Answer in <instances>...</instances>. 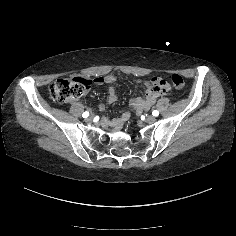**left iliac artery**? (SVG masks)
<instances>
[{
    "label": "left iliac artery",
    "instance_id": "1",
    "mask_svg": "<svg viewBox=\"0 0 236 236\" xmlns=\"http://www.w3.org/2000/svg\"><path fill=\"white\" fill-rule=\"evenodd\" d=\"M152 115H153V116H158V115H159V111L154 110V111L152 112Z\"/></svg>",
    "mask_w": 236,
    "mask_h": 236
}]
</instances>
